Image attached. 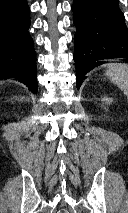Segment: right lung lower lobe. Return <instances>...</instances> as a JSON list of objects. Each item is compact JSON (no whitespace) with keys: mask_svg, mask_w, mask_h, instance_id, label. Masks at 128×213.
I'll return each mask as SVG.
<instances>
[{"mask_svg":"<svg viewBox=\"0 0 128 213\" xmlns=\"http://www.w3.org/2000/svg\"><path fill=\"white\" fill-rule=\"evenodd\" d=\"M26 0H0V80L13 77L36 93L37 69Z\"/></svg>","mask_w":128,"mask_h":213,"instance_id":"1","label":"right lung lower lobe"}]
</instances>
